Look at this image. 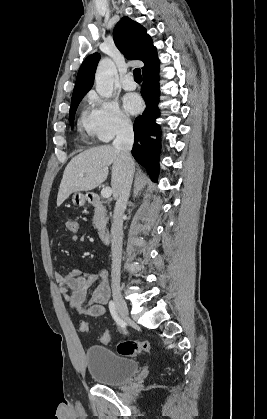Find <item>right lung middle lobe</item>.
<instances>
[{"instance_id":"1","label":"right lung middle lobe","mask_w":267,"mask_h":419,"mask_svg":"<svg viewBox=\"0 0 267 419\" xmlns=\"http://www.w3.org/2000/svg\"><path fill=\"white\" fill-rule=\"evenodd\" d=\"M84 96H78V97H73L71 100V107H70V123L71 126L73 127L74 124V116H75V112L77 110V107L79 105V103L81 102L82 98Z\"/></svg>"}]
</instances>
